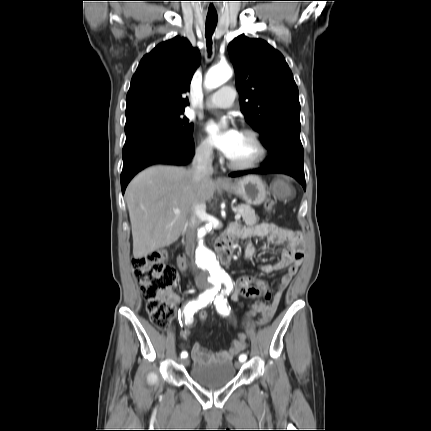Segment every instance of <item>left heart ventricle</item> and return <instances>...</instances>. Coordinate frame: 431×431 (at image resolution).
I'll return each instance as SVG.
<instances>
[{
    "instance_id": "obj_1",
    "label": "left heart ventricle",
    "mask_w": 431,
    "mask_h": 431,
    "mask_svg": "<svg viewBox=\"0 0 431 431\" xmlns=\"http://www.w3.org/2000/svg\"><path fill=\"white\" fill-rule=\"evenodd\" d=\"M257 155V148L252 139L244 134L240 137L228 158L234 162H247L255 158Z\"/></svg>"
}]
</instances>
